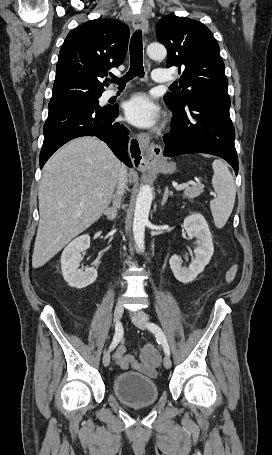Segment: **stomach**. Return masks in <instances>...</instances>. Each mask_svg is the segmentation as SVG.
Segmentation results:
<instances>
[{
  "instance_id": "1",
  "label": "stomach",
  "mask_w": 272,
  "mask_h": 455,
  "mask_svg": "<svg viewBox=\"0 0 272 455\" xmlns=\"http://www.w3.org/2000/svg\"><path fill=\"white\" fill-rule=\"evenodd\" d=\"M150 168H153V169H155L159 172L165 173V174H169V173H173L176 170V165H175V163H172V162L168 163L165 161H155V162L151 163Z\"/></svg>"
}]
</instances>
